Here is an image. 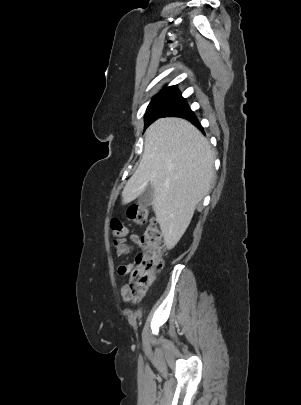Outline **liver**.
<instances>
[{
  "label": "liver",
  "instance_id": "1",
  "mask_svg": "<svg viewBox=\"0 0 301 405\" xmlns=\"http://www.w3.org/2000/svg\"><path fill=\"white\" fill-rule=\"evenodd\" d=\"M214 151L190 122L168 117L145 132L144 153L123 191V204L154 188L153 210L165 245L172 249L209 192L214 176Z\"/></svg>",
  "mask_w": 301,
  "mask_h": 405
}]
</instances>
